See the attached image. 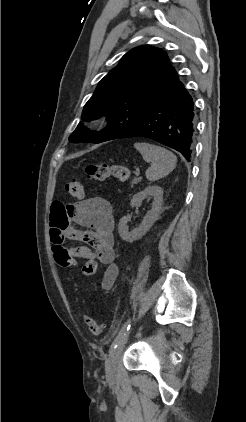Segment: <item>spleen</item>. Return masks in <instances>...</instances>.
<instances>
[{"label": "spleen", "instance_id": "3e777b00", "mask_svg": "<svg viewBox=\"0 0 246 422\" xmlns=\"http://www.w3.org/2000/svg\"><path fill=\"white\" fill-rule=\"evenodd\" d=\"M134 147L141 153L143 159L150 163L146 171V178L149 181L165 177L176 166L177 157L164 147L149 143H135Z\"/></svg>", "mask_w": 246, "mask_h": 422}]
</instances>
